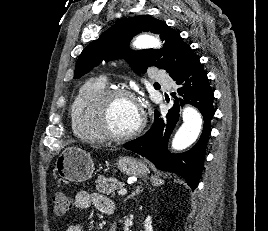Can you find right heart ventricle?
Returning <instances> with one entry per match:
<instances>
[{"label":"right heart ventricle","mask_w":268,"mask_h":231,"mask_svg":"<svg viewBox=\"0 0 268 231\" xmlns=\"http://www.w3.org/2000/svg\"><path fill=\"white\" fill-rule=\"evenodd\" d=\"M106 88L104 80L91 78L81 86L71 102L69 107L70 122L73 133L77 137L98 144L105 142L94 125L93 105L98 95Z\"/></svg>","instance_id":"obj_1"}]
</instances>
